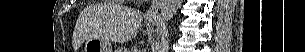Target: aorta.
<instances>
[{
	"instance_id": "1",
	"label": "aorta",
	"mask_w": 305,
	"mask_h": 52,
	"mask_svg": "<svg viewBox=\"0 0 305 52\" xmlns=\"http://www.w3.org/2000/svg\"><path fill=\"white\" fill-rule=\"evenodd\" d=\"M180 0H162L160 4L161 17L164 21H170L178 7L180 6Z\"/></svg>"
}]
</instances>
